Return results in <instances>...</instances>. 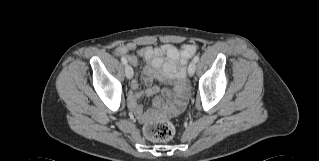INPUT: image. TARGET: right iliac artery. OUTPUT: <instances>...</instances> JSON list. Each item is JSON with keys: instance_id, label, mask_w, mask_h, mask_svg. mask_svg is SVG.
<instances>
[{"instance_id": "82829eb1", "label": "right iliac artery", "mask_w": 319, "mask_h": 161, "mask_svg": "<svg viewBox=\"0 0 319 161\" xmlns=\"http://www.w3.org/2000/svg\"><path fill=\"white\" fill-rule=\"evenodd\" d=\"M121 62L126 65L127 64V60L125 58H121Z\"/></svg>"}]
</instances>
